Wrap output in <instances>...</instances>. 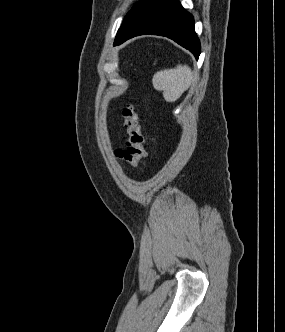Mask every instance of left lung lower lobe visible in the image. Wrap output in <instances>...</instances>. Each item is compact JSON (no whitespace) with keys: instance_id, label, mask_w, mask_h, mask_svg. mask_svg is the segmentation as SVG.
<instances>
[{"instance_id":"obj_1","label":"left lung lower lobe","mask_w":285,"mask_h":332,"mask_svg":"<svg viewBox=\"0 0 285 332\" xmlns=\"http://www.w3.org/2000/svg\"><path fill=\"white\" fill-rule=\"evenodd\" d=\"M144 34L166 36L193 53L200 55V41L194 30L193 16L178 0H151L128 27L115 38L114 45Z\"/></svg>"}]
</instances>
